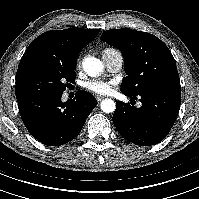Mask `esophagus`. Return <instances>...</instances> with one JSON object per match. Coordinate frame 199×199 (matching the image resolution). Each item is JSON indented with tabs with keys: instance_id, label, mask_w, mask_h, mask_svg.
Instances as JSON below:
<instances>
[{
	"instance_id": "1",
	"label": "esophagus",
	"mask_w": 199,
	"mask_h": 199,
	"mask_svg": "<svg viewBox=\"0 0 199 199\" xmlns=\"http://www.w3.org/2000/svg\"><path fill=\"white\" fill-rule=\"evenodd\" d=\"M96 99H97L98 102H100L104 99V97L100 96V95H96Z\"/></svg>"
}]
</instances>
